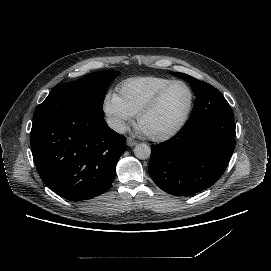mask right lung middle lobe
<instances>
[{"instance_id": "dd1d6c3e", "label": "right lung middle lobe", "mask_w": 271, "mask_h": 271, "mask_svg": "<svg viewBox=\"0 0 271 271\" xmlns=\"http://www.w3.org/2000/svg\"><path fill=\"white\" fill-rule=\"evenodd\" d=\"M117 71L88 74L56 87L35 110L33 120L53 112L95 113L104 116L103 100Z\"/></svg>"}]
</instances>
